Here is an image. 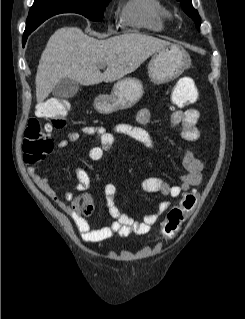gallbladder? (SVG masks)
<instances>
[{
    "label": "gallbladder",
    "mask_w": 245,
    "mask_h": 319,
    "mask_svg": "<svg viewBox=\"0 0 245 319\" xmlns=\"http://www.w3.org/2000/svg\"><path fill=\"white\" fill-rule=\"evenodd\" d=\"M79 83L68 77L58 81L52 90V94L58 98H71L77 94Z\"/></svg>",
    "instance_id": "bac80fb5"
}]
</instances>
